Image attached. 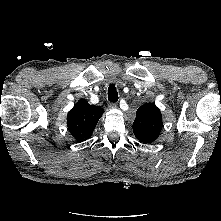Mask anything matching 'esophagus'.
Segmentation results:
<instances>
[{"label": "esophagus", "mask_w": 221, "mask_h": 221, "mask_svg": "<svg viewBox=\"0 0 221 221\" xmlns=\"http://www.w3.org/2000/svg\"><path fill=\"white\" fill-rule=\"evenodd\" d=\"M109 107L114 109V108H117L118 105L116 103H110Z\"/></svg>", "instance_id": "obj_1"}]
</instances>
